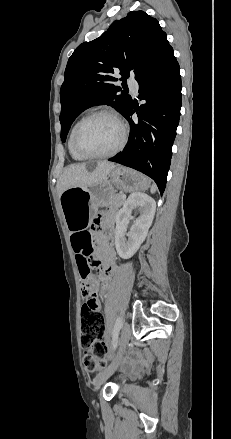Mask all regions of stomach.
Masks as SVG:
<instances>
[{
  "label": "stomach",
  "mask_w": 231,
  "mask_h": 439,
  "mask_svg": "<svg viewBox=\"0 0 231 439\" xmlns=\"http://www.w3.org/2000/svg\"><path fill=\"white\" fill-rule=\"evenodd\" d=\"M150 180L126 167L117 166L100 182L90 187H71L60 196V205L67 227L82 230L91 222L99 206L109 205L116 191L145 190Z\"/></svg>",
  "instance_id": "stomach-1"
}]
</instances>
